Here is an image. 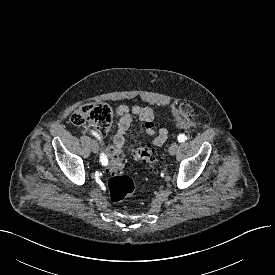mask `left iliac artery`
<instances>
[{
	"label": "left iliac artery",
	"mask_w": 275,
	"mask_h": 275,
	"mask_svg": "<svg viewBox=\"0 0 275 275\" xmlns=\"http://www.w3.org/2000/svg\"><path fill=\"white\" fill-rule=\"evenodd\" d=\"M187 140V137L184 134H180L178 136V141L179 142H185Z\"/></svg>",
	"instance_id": "1"
}]
</instances>
